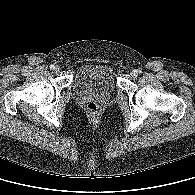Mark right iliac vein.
<instances>
[{"label": "right iliac vein", "instance_id": "1", "mask_svg": "<svg viewBox=\"0 0 195 195\" xmlns=\"http://www.w3.org/2000/svg\"><path fill=\"white\" fill-rule=\"evenodd\" d=\"M54 70H55L56 73H58V72L60 71L59 66H56V67L54 68Z\"/></svg>", "mask_w": 195, "mask_h": 195}]
</instances>
